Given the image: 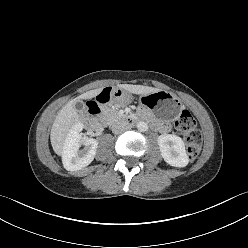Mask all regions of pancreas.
I'll use <instances>...</instances> for the list:
<instances>
[{"label":"pancreas","instance_id":"pancreas-1","mask_svg":"<svg viewBox=\"0 0 248 248\" xmlns=\"http://www.w3.org/2000/svg\"><path fill=\"white\" fill-rule=\"evenodd\" d=\"M106 119L112 123L113 121H115L119 116V112L115 109L112 108H108L106 113H105Z\"/></svg>","mask_w":248,"mask_h":248}]
</instances>
